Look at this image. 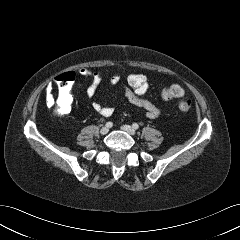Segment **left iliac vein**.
<instances>
[{"mask_svg": "<svg viewBox=\"0 0 240 240\" xmlns=\"http://www.w3.org/2000/svg\"><path fill=\"white\" fill-rule=\"evenodd\" d=\"M124 131H126L128 134L130 135H135L136 131L134 130L133 127L129 126V125H123L121 127Z\"/></svg>", "mask_w": 240, "mask_h": 240, "instance_id": "4c4485c4", "label": "left iliac vein"}]
</instances>
